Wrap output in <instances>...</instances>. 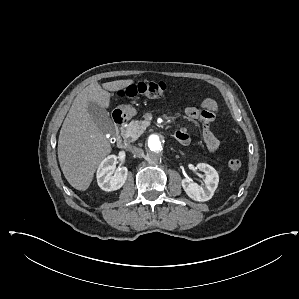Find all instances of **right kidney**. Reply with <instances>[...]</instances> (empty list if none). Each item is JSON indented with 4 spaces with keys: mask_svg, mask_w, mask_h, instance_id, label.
<instances>
[{
    "mask_svg": "<svg viewBox=\"0 0 299 299\" xmlns=\"http://www.w3.org/2000/svg\"><path fill=\"white\" fill-rule=\"evenodd\" d=\"M117 163L116 155H109L102 160L97 169V183L99 187L104 191H114L120 189L128 175V169L122 167L119 169L116 175L112 176Z\"/></svg>",
    "mask_w": 299,
    "mask_h": 299,
    "instance_id": "ca27d5eb",
    "label": "right kidney"
}]
</instances>
